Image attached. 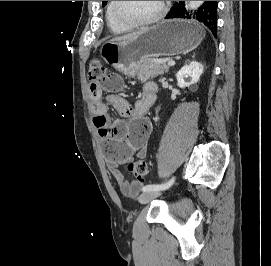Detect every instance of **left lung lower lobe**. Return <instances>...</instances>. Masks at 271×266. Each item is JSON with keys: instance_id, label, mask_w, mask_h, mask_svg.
Wrapping results in <instances>:
<instances>
[{"instance_id": "obj_1", "label": "left lung lower lobe", "mask_w": 271, "mask_h": 266, "mask_svg": "<svg viewBox=\"0 0 271 266\" xmlns=\"http://www.w3.org/2000/svg\"><path fill=\"white\" fill-rule=\"evenodd\" d=\"M166 18L196 19L203 23L211 32L217 35V1H204L195 13H188L184 1L175 3Z\"/></svg>"}]
</instances>
